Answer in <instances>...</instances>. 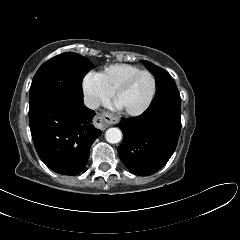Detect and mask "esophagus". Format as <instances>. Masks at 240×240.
Masks as SVG:
<instances>
[{
	"label": "esophagus",
	"instance_id": "1",
	"mask_svg": "<svg viewBox=\"0 0 240 240\" xmlns=\"http://www.w3.org/2000/svg\"><path fill=\"white\" fill-rule=\"evenodd\" d=\"M115 120H116V117H114L112 114L104 112L96 116V118L94 119V124L98 128L104 130L110 124L114 123Z\"/></svg>",
	"mask_w": 240,
	"mask_h": 240
}]
</instances>
